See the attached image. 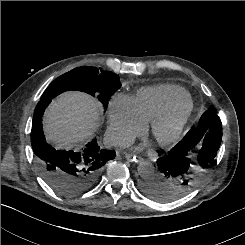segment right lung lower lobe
Listing matches in <instances>:
<instances>
[{
	"label": "right lung lower lobe",
	"instance_id": "right-lung-lower-lobe-1",
	"mask_svg": "<svg viewBox=\"0 0 245 245\" xmlns=\"http://www.w3.org/2000/svg\"><path fill=\"white\" fill-rule=\"evenodd\" d=\"M52 99L38 102L32 121L31 143L38 170L46 183L65 197H75L92 188L102 167L116 156L115 151L102 149L94 139L81 151L56 150L47 144L42 116Z\"/></svg>",
	"mask_w": 245,
	"mask_h": 245
}]
</instances>
